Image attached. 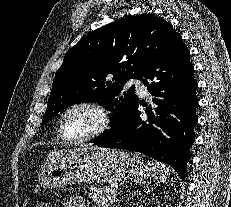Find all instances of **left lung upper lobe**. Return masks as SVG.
I'll list each match as a JSON object with an SVG mask.
<instances>
[{
	"mask_svg": "<svg viewBox=\"0 0 231 207\" xmlns=\"http://www.w3.org/2000/svg\"><path fill=\"white\" fill-rule=\"evenodd\" d=\"M181 36L172 25L154 14H142L99 28L64 56L55 74L42 125L64 108L81 102H97L112 111L111 128L138 99L134 86L123 92L122 84L139 79L148 62Z\"/></svg>",
	"mask_w": 231,
	"mask_h": 207,
	"instance_id": "1",
	"label": "left lung upper lobe"
}]
</instances>
